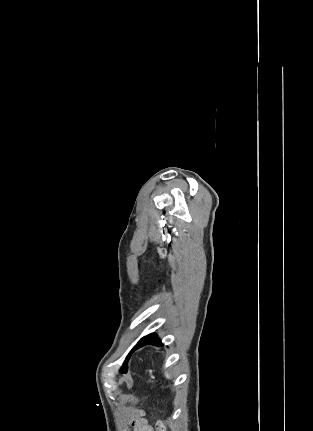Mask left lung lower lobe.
Segmentation results:
<instances>
[{
  "mask_svg": "<svg viewBox=\"0 0 313 431\" xmlns=\"http://www.w3.org/2000/svg\"><path fill=\"white\" fill-rule=\"evenodd\" d=\"M147 344H153L156 346H160L161 345V340L157 338L156 334L151 333L148 334L147 336H144L143 338L140 339V341L136 344V346L132 349L131 352H133V350L138 349L144 345ZM121 373H126V371H122Z\"/></svg>",
  "mask_w": 313,
  "mask_h": 431,
  "instance_id": "obj_1",
  "label": "left lung lower lobe"
}]
</instances>
